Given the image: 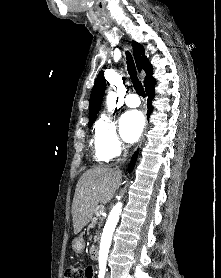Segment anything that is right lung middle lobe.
Returning <instances> with one entry per match:
<instances>
[{"label": "right lung middle lobe", "mask_w": 221, "mask_h": 278, "mask_svg": "<svg viewBox=\"0 0 221 278\" xmlns=\"http://www.w3.org/2000/svg\"><path fill=\"white\" fill-rule=\"evenodd\" d=\"M88 126H89V127H91V126H92V124H89Z\"/></svg>", "instance_id": "obj_1"}]
</instances>
